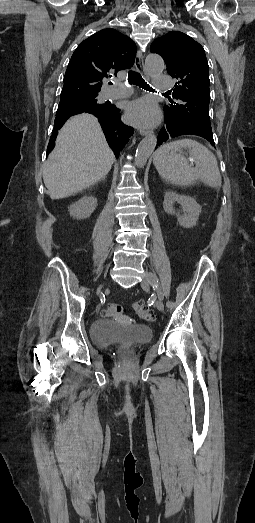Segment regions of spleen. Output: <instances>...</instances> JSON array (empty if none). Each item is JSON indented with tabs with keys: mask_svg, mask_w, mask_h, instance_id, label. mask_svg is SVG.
<instances>
[{
	"mask_svg": "<svg viewBox=\"0 0 255 523\" xmlns=\"http://www.w3.org/2000/svg\"><path fill=\"white\" fill-rule=\"evenodd\" d=\"M182 148L188 150L190 160L196 164L195 168H191L186 158L178 154ZM153 164L159 176L169 184L194 186L200 180L211 188L220 186L221 176L214 154L195 140L185 138L160 146L153 154Z\"/></svg>",
	"mask_w": 255,
	"mask_h": 523,
	"instance_id": "1",
	"label": "spleen"
}]
</instances>
